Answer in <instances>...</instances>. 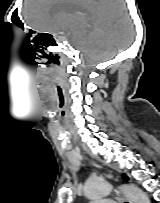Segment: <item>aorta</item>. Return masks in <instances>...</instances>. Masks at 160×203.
<instances>
[{
    "mask_svg": "<svg viewBox=\"0 0 160 203\" xmlns=\"http://www.w3.org/2000/svg\"><path fill=\"white\" fill-rule=\"evenodd\" d=\"M112 189V184L107 181H89L84 186V194L90 199H99L110 194ZM120 190L132 203H150L147 194L133 184L122 185Z\"/></svg>",
    "mask_w": 160,
    "mask_h": 203,
    "instance_id": "obj_1",
    "label": "aorta"
}]
</instances>
